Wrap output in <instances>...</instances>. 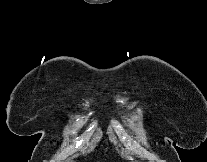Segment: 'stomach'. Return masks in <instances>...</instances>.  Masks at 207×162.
Returning <instances> with one entry per match:
<instances>
[{"label":"stomach","instance_id":"0dacf381","mask_svg":"<svg viewBox=\"0 0 207 162\" xmlns=\"http://www.w3.org/2000/svg\"><path fill=\"white\" fill-rule=\"evenodd\" d=\"M126 158L131 159V156H126Z\"/></svg>","mask_w":207,"mask_h":162}]
</instances>
